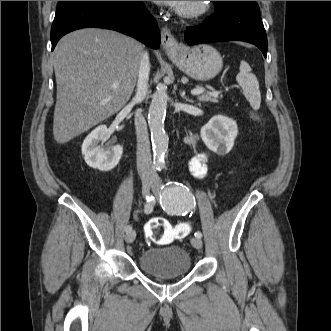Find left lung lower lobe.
<instances>
[{"label": "left lung lower lobe", "mask_w": 331, "mask_h": 331, "mask_svg": "<svg viewBox=\"0 0 331 331\" xmlns=\"http://www.w3.org/2000/svg\"><path fill=\"white\" fill-rule=\"evenodd\" d=\"M189 45L218 41H245L256 45L266 57L267 36L256 3L225 6L202 25L184 33Z\"/></svg>", "instance_id": "obj_1"}]
</instances>
